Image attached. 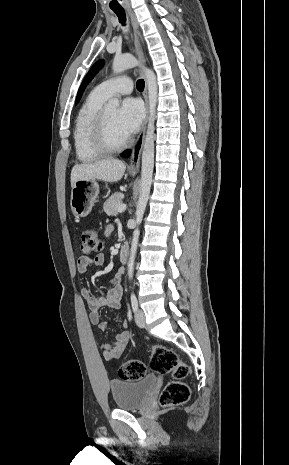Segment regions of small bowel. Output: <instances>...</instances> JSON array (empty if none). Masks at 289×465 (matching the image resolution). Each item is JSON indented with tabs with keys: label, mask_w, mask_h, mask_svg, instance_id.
<instances>
[{
	"label": "small bowel",
	"mask_w": 289,
	"mask_h": 465,
	"mask_svg": "<svg viewBox=\"0 0 289 465\" xmlns=\"http://www.w3.org/2000/svg\"><path fill=\"white\" fill-rule=\"evenodd\" d=\"M104 262V254H98L94 257L85 255L81 256L77 262V272L79 275H85L91 266H102ZM122 279L123 272L122 270H119L109 281L105 294L101 296L93 295L87 288L82 289V296L86 300L90 309V323L96 325L101 331H105L108 328L109 323L107 321H100L98 313L99 309L102 307H111L118 310L122 308ZM122 327L123 329L117 333L115 340L112 343L99 344V348L102 351L103 357L107 361L117 360L121 356L125 346L128 343L130 334L126 330V320L122 321Z\"/></svg>",
	"instance_id": "c3829d8e"
}]
</instances>
